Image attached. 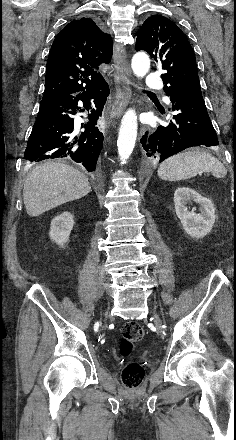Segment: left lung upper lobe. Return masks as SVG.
<instances>
[{"label": "left lung upper lobe", "mask_w": 236, "mask_h": 440, "mask_svg": "<svg viewBox=\"0 0 236 440\" xmlns=\"http://www.w3.org/2000/svg\"><path fill=\"white\" fill-rule=\"evenodd\" d=\"M140 50L164 70L161 77L167 95L185 85H199L194 51L186 35L168 18L153 15L145 20L136 39V51Z\"/></svg>", "instance_id": "left-lung-upper-lobe-1"}]
</instances>
